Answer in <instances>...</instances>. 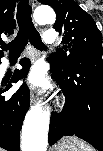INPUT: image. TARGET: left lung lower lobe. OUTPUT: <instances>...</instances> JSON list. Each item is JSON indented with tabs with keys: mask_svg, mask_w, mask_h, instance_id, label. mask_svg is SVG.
Listing matches in <instances>:
<instances>
[{
	"mask_svg": "<svg viewBox=\"0 0 103 151\" xmlns=\"http://www.w3.org/2000/svg\"><path fill=\"white\" fill-rule=\"evenodd\" d=\"M51 71L66 102L51 115L49 144L75 135L103 151V55L83 56L67 71L52 66Z\"/></svg>",
	"mask_w": 103,
	"mask_h": 151,
	"instance_id": "0a47b994",
	"label": "left lung lower lobe"
}]
</instances>
